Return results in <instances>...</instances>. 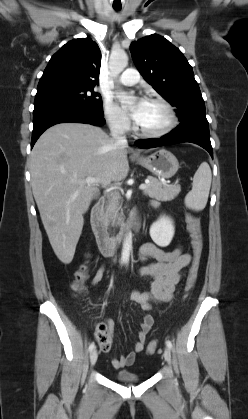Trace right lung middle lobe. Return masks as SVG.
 <instances>
[{
    "label": "right lung middle lobe",
    "mask_w": 248,
    "mask_h": 419,
    "mask_svg": "<svg viewBox=\"0 0 248 419\" xmlns=\"http://www.w3.org/2000/svg\"><path fill=\"white\" fill-rule=\"evenodd\" d=\"M55 103H73L82 105L91 111L103 114L102 98L94 88L62 87L37 91L34 106Z\"/></svg>",
    "instance_id": "obj_1"
}]
</instances>
